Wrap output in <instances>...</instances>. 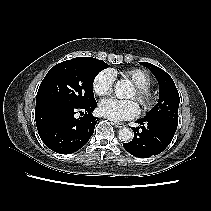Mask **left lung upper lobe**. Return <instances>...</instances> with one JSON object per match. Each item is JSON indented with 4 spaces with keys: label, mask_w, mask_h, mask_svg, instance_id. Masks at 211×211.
I'll list each match as a JSON object with an SVG mask.
<instances>
[{
    "label": "left lung upper lobe",
    "mask_w": 211,
    "mask_h": 211,
    "mask_svg": "<svg viewBox=\"0 0 211 211\" xmlns=\"http://www.w3.org/2000/svg\"><path fill=\"white\" fill-rule=\"evenodd\" d=\"M140 64L154 74L159 83L160 90L158 103L144 118L160 119L177 126L180 98L174 81L161 68L147 62H140Z\"/></svg>",
    "instance_id": "obj_1"
}]
</instances>
